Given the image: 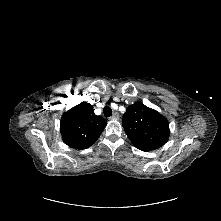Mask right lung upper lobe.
I'll return each mask as SVG.
<instances>
[{
    "label": "right lung upper lobe",
    "mask_w": 221,
    "mask_h": 221,
    "mask_svg": "<svg viewBox=\"0 0 221 221\" xmlns=\"http://www.w3.org/2000/svg\"><path fill=\"white\" fill-rule=\"evenodd\" d=\"M106 125L103 117L94 114L91 104L82 102L62 115L60 132L68 146L86 149L99 138Z\"/></svg>",
    "instance_id": "1"
}]
</instances>
